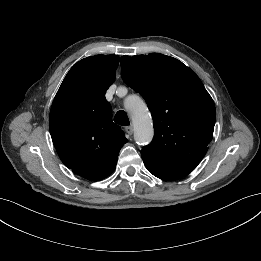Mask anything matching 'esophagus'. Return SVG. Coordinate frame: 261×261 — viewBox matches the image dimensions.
<instances>
[{
	"instance_id": "obj_1",
	"label": "esophagus",
	"mask_w": 261,
	"mask_h": 261,
	"mask_svg": "<svg viewBox=\"0 0 261 261\" xmlns=\"http://www.w3.org/2000/svg\"><path fill=\"white\" fill-rule=\"evenodd\" d=\"M125 132H126L128 135H132V133H133V127H132V126H127V127H125Z\"/></svg>"
}]
</instances>
